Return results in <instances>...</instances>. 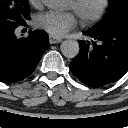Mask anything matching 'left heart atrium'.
Wrapping results in <instances>:
<instances>
[{
  "label": "left heart atrium",
  "instance_id": "39dd6f15",
  "mask_svg": "<svg viewBox=\"0 0 128 128\" xmlns=\"http://www.w3.org/2000/svg\"><path fill=\"white\" fill-rule=\"evenodd\" d=\"M77 24L74 13L43 12L34 18V25L53 36H62Z\"/></svg>",
  "mask_w": 128,
  "mask_h": 128
}]
</instances>
